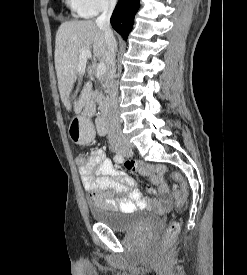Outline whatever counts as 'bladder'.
Masks as SVG:
<instances>
[{"mask_svg":"<svg viewBox=\"0 0 247 275\" xmlns=\"http://www.w3.org/2000/svg\"><path fill=\"white\" fill-rule=\"evenodd\" d=\"M89 211L95 222L114 231H128L137 225L154 226L159 222V215L149 211H113L89 205ZM138 216L135 218L134 216Z\"/></svg>","mask_w":247,"mask_h":275,"instance_id":"1","label":"bladder"}]
</instances>
